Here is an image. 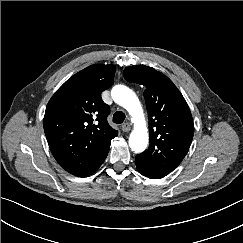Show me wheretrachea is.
<instances>
[{
    "label": "trachea",
    "mask_w": 243,
    "mask_h": 243,
    "mask_svg": "<svg viewBox=\"0 0 243 243\" xmlns=\"http://www.w3.org/2000/svg\"><path fill=\"white\" fill-rule=\"evenodd\" d=\"M125 120V114L122 111H117L113 115V122L116 124H121Z\"/></svg>",
    "instance_id": "1"
}]
</instances>
